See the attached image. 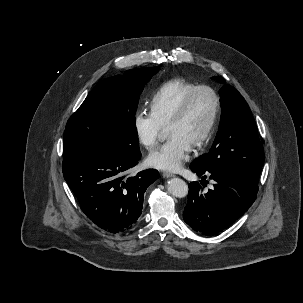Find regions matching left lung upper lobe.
I'll return each mask as SVG.
<instances>
[{
    "label": "left lung upper lobe",
    "instance_id": "1",
    "mask_svg": "<svg viewBox=\"0 0 303 303\" xmlns=\"http://www.w3.org/2000/svg\"><path fill=\"white\" fill-rule=\"evenodd\" d=\"M216 79V78H213ZM220 83L225 80L217 77ZM221 119L209 153L192 164L201 168H220L247 177L258 183L264 150L255 120L241 94L232 86L220 89Z\"/></svg>",
    "mask_w": 303,
    "mask_h": 303
}]
</instances>
